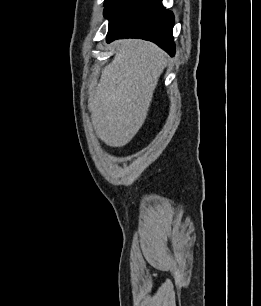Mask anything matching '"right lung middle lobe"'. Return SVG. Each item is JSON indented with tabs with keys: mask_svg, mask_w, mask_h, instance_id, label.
I'll return each mask as SVG.
<instances>
[{
	"mask_svg": "<svg viewBox=\"0 0 261 306\" xmlns=\"http://www.w3.org/2000/svg\"><path fill=\"white\" fill-rule=\"evenodd\" d=\"M112 0H105L104 5L107 6Z\"/></svg>",
	"mask_w": 261,
	"mask_h": 306,
	"instance_id": "dd1d6c3e",
	"label": "right lung middle lobe"
}]
</instances>
